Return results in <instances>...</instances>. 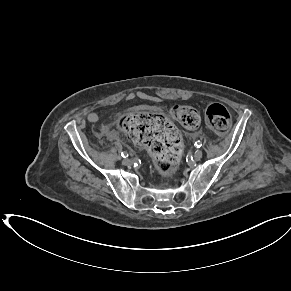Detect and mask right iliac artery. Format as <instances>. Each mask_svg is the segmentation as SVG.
I'll list each match as a JSON object with an SVG mask.
<instances>
[{"instance_id":"1","label":"right iliac artery","mask_w":291,"mask_h":291,"mask_svg":"<svg viewBox=\"0 0 291 291\" xmlns=\"http://www.w3.org/2000/svg\"><path fill=\"white\" fill-rule=\"evenodd\" d=\"M121 156H122L123 158H126V157H128V153H127V152H122V153H121Z\"/></svg>"}]
</instances>
